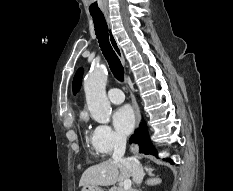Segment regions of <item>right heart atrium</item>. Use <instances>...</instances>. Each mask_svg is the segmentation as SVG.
Here are the masks:
<instances>
[{
	"instance_id": "right-heart-atrium-1",
	"label": "right heart atrium",
	"mask_w": 233,
	"mask_h": 191,
	"mask_svg": "<svg viewBox=\"0 0 233 191\" xmlns=\"http://www.w3.org/2000/svg\"><path fill=\"white\" fill-rule=\"evenodd\" d=\"M94 143L102 155H110L125 143L123 136L108 125H99L94 130Z\"/></svg>"
}]
</instances>
